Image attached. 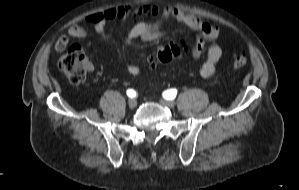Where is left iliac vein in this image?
Instances as JSON below:
<instances>
[{
	"mask_svg": "<svg viewBox=\"0 0 299 190\" xmlns=\"http://www.w3.org/2000/svg\"><path fill=\"white\" fill-rule=\"evenodd\" d=\"M162 105L169 107V108H174L175 107V102L172 100H161L160 101Z\"/></svg>",
	"mask_w": 299,
	"mask_h": 190,
	"instance_id": "1",
	"label": "left iliac vein"
}]
</instances>
